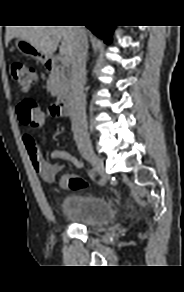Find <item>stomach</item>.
<instances>
[{"mask_svg":"<svg viewBox=\"0 0 184 292\" xmlns=\"http://www.w3.org/2000/svg\"><path fill=\"white\" fill-rule=\"evenodd\" d=\"M15 47L21 54L32 57L42 64H46L50 58L41 51H39L37 48H35L33 45H31L29 42L21 38L16 39Z\"/></svg>","mask_w":184,"mask_h":292,"instance_id":"stomach-1","label":"stomach"}]
</instances>
